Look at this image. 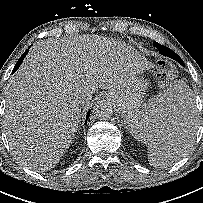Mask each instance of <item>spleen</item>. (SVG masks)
<instances>
[{
  "instance_id": "3e777b00",
  "label": "spleen",
  "mask_w": 203,
  "mask_h": 203,
  "mask_svg": "<svg viewBox=\"0 0 203 203\" xmlns=\"http://www.w3.org/2000/svg\"><path fill=\"white\" fill-rule=\"evenodd\" d=\"M168 113L185 121L189 131L181 139L158 142L157 128ZM195 115L192 91L183 81H178L130 115L129 129L138 141L148 142L150 165L168 166L178 161L192 147L196 129Z\"/></svg>"
}]
</instances>
